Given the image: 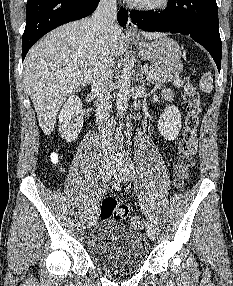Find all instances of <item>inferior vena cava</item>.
Masks as SVG:
<instances>
[{"mask_svg":"<svg viewBox=\"0 0 233 286\" xmlns=\"http://www.w3.org/2000/svg\"><path fill=\"white\" fill-rule=\"evenodd\" d=\"M117 17L116 0H101L93 14L92 27L100 31L99 49L94 57L92 75V93L96 97V123L105 139V146L112 151L109 140L106 141L110 124V89L112 84L114 56L110 43V28Z\"/></svg>","mask_w":233,"mask_h":286,"instance_id":"1","label":"inferior vena cava"}]
</instances>
